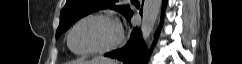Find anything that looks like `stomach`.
<instances>
[{
	"label": "stomach",
	"mask_w": 242,
	"mask_h": 64,
	"mask_svg": "<svg viewBox=\"0 0 242 64\" xmlns=\"http://www.w3.org/2000/svg\"><path fill=\"white\" fill-rule=\"evenodd\" d=\"M79 64H105V63H91L90 61H83V62H81Z\"/></svg>",
	"instance_id": "obj_1"
}]
</instances>
